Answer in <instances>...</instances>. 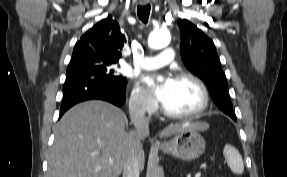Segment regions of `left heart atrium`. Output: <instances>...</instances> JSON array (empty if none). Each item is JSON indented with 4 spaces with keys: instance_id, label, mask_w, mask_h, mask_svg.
Segmentation results:
<instances>
[{
    "instance_id": "39dd6f15",
    "label": "left heart atrium",
    "mask_w": 287,
    "mask_h": 177,
    "mask_svg": "<svg viewBox=\"0 0 287 177\" xmlns=\"http://www.w3.org/2000/svg\"><path fill=\"white\" fill-rule=\"evenodd\" d=\"M174 79L166 78L163 82H158L155 77H145L144 83L147 88L151 91V93L155 96V98L163 103L166 99V96L171 89Z\"/></svg>"
}]
</instances>
